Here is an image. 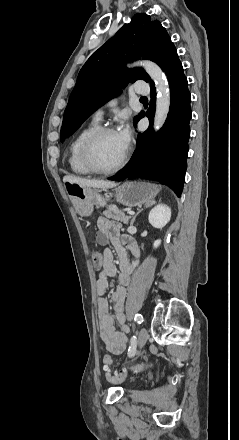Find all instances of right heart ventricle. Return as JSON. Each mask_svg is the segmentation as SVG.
Returning a JSON list of instances; mask_svg holds the SVG:
<instances>
[{"label": "right heart ventricle", "instance_id": "right-heart-ventricle-1", "mask_svg": "<svg viewBox=\"0 0 239 440\" xmlns=\"http://www.w3.org/2000/svg\"><path fill=\"white\" fill-rule=\"evenodd\" d=\"M98 128V123L92 121L76 133L68 149V164L72 172L78 175H90L81 159V148L86 138Z\"/></svg>", "mask_w": 239, "mask_h": 440}]
</instances>
